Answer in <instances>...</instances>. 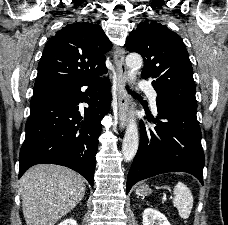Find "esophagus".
Here are the masks:
<instances>
[{
	"label": "esophagus",
	"instance_id": "obj_1",
	"mask_svg": "<svg viewBox=\"0 0 228 225\" xmlns=\"http://www.w3.org/2000/svg\"><path fill=\"white\" fill-rule=\"evenodd\" d=\"M116 64V82L118 97V119L120 129H124L127 125V113L129 98L126 90L127 69L125 65V50L117 47L114 56Z\"/></svg>",
	"mask_w": 228,
	"mask_h": 225
}]
</instances>
